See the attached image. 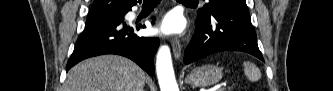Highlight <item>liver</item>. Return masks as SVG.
<instances>
[{
    "label": "liver",
    "mask_w": 333,
    "mask_h": 91,
    "mask_svg": "<svg viewBox=\"0 0 333 91\" xmlns=\"http://www.w3.org/2000/svg\"><path fill=\"white\" fill-rule=\"evenodd\" d=\"M144 84L145 72L134 62L104 55L71 68L63 91H143Z\"/></svg>",
    "instance_id": "obj_1"
}]
</instances>
